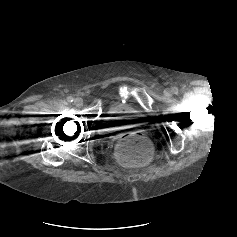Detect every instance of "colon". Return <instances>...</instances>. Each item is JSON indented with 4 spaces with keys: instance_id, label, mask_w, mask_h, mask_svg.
Listing matches in <instances>:
<instances>
[{
    "instance_id": "1",
    "label": "colon",
    "mask_w": 237,
    "mask_h": 237,
    "mask_svg": "<svg viewBox=\"0 0 237 237\" xmlns=\"http://www.w3.org/2000/svg\"><path fill=\"white\" fill-rule=\"evenodd\" d=\"M116 155L124 164L142 165L151 159L152 147L145 136L140 133H131L119 141Z\"/></svg>"
}]
</instances>
